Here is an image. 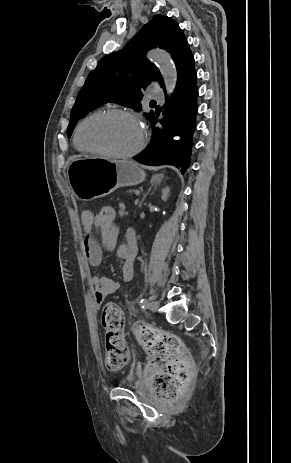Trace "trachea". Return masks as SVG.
I'll return each instance as SVG.
<instances>
[{"instance_id": "trachea-1", "label": "trachea", "mask_w": 291, "mask_h": 463, "mask_svg": "<svg viewBox=\"0 0 291 463\" xmlns=\"http://www.w3.org/2000/svg\"><path fill=\"white\" fill-rule=\"evenodd\" d=\"M151 103H155V101L152 100Z\"/></svg>"}]
</instances>
